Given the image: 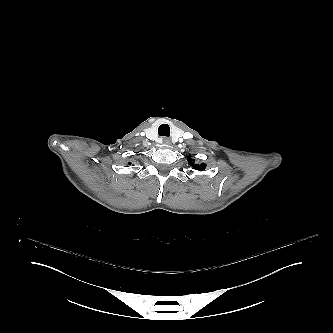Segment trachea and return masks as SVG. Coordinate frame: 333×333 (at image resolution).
<instances>
[{
    "label": "trachea",
    "instance_id": "3493384b",
    "mask_svg": "<svg viewBox=\"0 0 333 333\" xmlns=\"http://www.w3.org/2000/svg\"><path fill=\"white\" fill-rule=\"evenodd\" d=\"M158 134H159V136L169 137L170 136L169 126L167 124L160 125L159 128H158Z\"/></svg>",
    "mask_w": 333,
    "mask_h": 333
}]
</instances>
